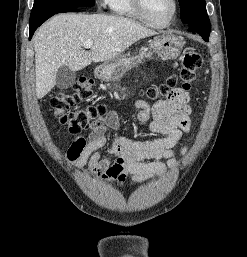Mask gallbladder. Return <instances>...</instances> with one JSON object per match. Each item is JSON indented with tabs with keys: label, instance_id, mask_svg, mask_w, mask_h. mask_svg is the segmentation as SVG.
<instances>
[{
	"label": "gallbladder",
	"instance_id": "bac80fb5",
	"mask_svg": "<svg viewBox=\"0 0 247 257\" xmlns=\"http://www.w3.org/2000/svg\"><path fill=\"white\" fill-rule=\"evenodd\" d=\"M76 73L67 66H61L56 73V86L59 89H68L74 85Z\"/></svg>",
	"mask_w": 247,
	"mask_h": 257
}]
</instances>
